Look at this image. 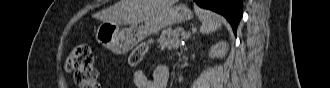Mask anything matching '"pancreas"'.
Returning <instances> with one entry per match:
<instances>
[{
  "label": "pancreas",
  "mask_w": 330,
  "mask_h": 88,
  "mask_svg": "<svg viewBox=\"0 0 330 88\" xmlns=\"http://www.w3.org/2000/svg\"><path fill=\"white\" fill-rule=\"evenodd\" d=\"M183 29L177 28L175 30H163L158 39L159 47L164 49H177L181 47L180 41L183 39Z\"/></svg>",
  "instance_id": "cf45deb5"
}]
</instances>
